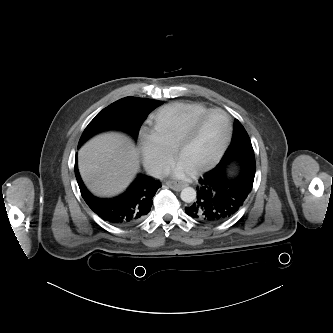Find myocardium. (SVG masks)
Wrapping results in <instances>:
<instances>
[{
    "label": "myocardium",
    "instance_id": "myocardium-1",
    "mask_svg": "<svg viewBox=\"0 0 333 333\" xmlns=\"http://www.w3.org/2000/svg\"><path fill=\"white\" fill-rule=\"evenodd\" d=\"M213 113H221L222 115H224V117L226 118L227 123H228L227 133H226V136H225L218 152L214 156V158L207 164H204V165L194 169L193 173H195V174H201L206 171H209L212 168H214L221 161L222 157L224 156V154L231 142L232 136H233V122H232L231 116L226 111H224L223 109H220V108L209 109L208 111H206L205 113H203L202 115H200L199 117L194 119L188 125V127L184 130V132L178 138V140L176 141V143L173 147L174 155H175V157H178L180 151L193 137L194 133L196 132V130H197L198 126L201 124V122Z\"/></svg>",
    "mask_w": 333,
    "mask_h": 333
}]
</instances>
